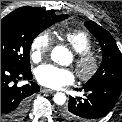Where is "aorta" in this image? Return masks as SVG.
Segmentation results:
<instances>
[{"mask_svg": "<svg viewBox=\"0 0 122 122\" xmlns=\"http://www.w3.org/2000/svg\"><path fill=\"white\" fill-rule=\"evenodd\" d=\"M51 58L56 63L66 64L70 59V51L65 46H56L51 52ZM53 101L57 105H63L66 102V95L62 92H58L54 95Z\"/></svg>", "mask_w": 122, "mask_h": 122, "instance_id": "aorta-1", "label": "aorta"}]
</instances>
